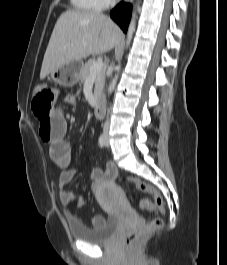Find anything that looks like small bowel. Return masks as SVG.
Listing matches in <instances>:
<instances>
[{
    "mask_svg": "<svg viewBox=\"0 0 227 265\" xmlns=\"http://www.w3.org/2000/svg\"><path fill=\"white\" fill-rule=\"evenodd\" d=\"M67 121L61 111L55 110L50 116H44L39 126V135L41 139L49 145V156L53 162L62 168L59 175L58 196L62 204L66 206H81L85 203V195H75L67 188L73 180L76 172L70 168L71 146L66 140ZM116 170L113 165H106L104 169L94 168L90 171L89 176L93 180L92 190L97 193L107 179L115 176ZM66 218L69 222L77 223V219L70 213L66 212ZM104 218L94 216L92 219L93 226L100 225Z\"/></svg>",
    "mask_w": 227,
    "mask_h": 265,
    "instance_id": "obj_1",
    "label": "small bowel"
}]
</instances>
